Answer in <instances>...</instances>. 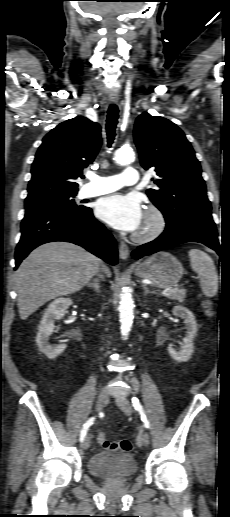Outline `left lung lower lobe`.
<instances>
[{"label": "left lung lower lobe", "mask_w": 230, "mask_h": 517, "mask_svg": "<svg viewBox=\"0 0 230 517\" xmlns=\"http://www.w3.org/2000/svg\"><path fill=\"white\" fill-rule=\"evenodd\" d=\"M186 242L203 243L221 255L217 230L211 212L184 214L175 222H166V229L154 241L139 246L132 252L134 259L156 253L165 248Z\"/></svg>", "instance_id": "obj_1"}]
</instances>
